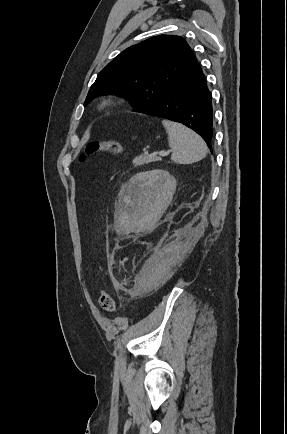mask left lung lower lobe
<instances>
[{"instance_id":"left-lung-lower-lobe-1","label":"left lung lower lobe","mask_w":287,"mask_h":434,"mask_svg":"<svg viewBox=\"0 0 287 434\" xmlns=\"http://www.w3.org/2000/svg\"><path fill=\"white\" fill-rule=\"evenodd\" d=\"M139 112L186 125L197 132L212 151L213 110L211 93L198 63L156 104Z\"/></svg>"}]
</instances>
